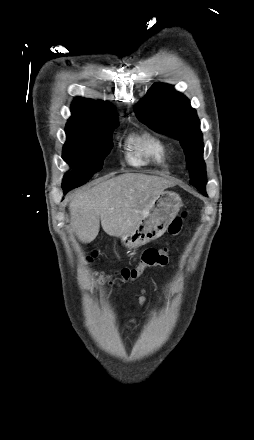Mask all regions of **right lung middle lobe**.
<instances>
[{"label":"right lung middle lobe","mask_w":254,"mask_h":440,"mask_svg":"<svg viewBox=\"0 0 254 440\" xmlns=\"http://www.w3.org/2000/svg\"><path fill=\"white\" fill-rule=\"evenodd\" d=\"M115 127L116 124L106 128L66 126L67 141L62 157L74 169L64 176V191L81 186L102 169L103 159L113 147Z\"/></svg>","instance_id":"1"}]
</instances>
